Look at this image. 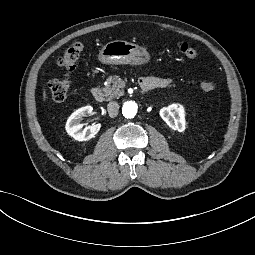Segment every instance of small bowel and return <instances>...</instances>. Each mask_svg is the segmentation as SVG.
<instances>
[{"mask_svg": "<svg viewBox=\"0 0 255 255\" xmlns=\"http://www.w3.org/2000/svg\"><path fill=\"white\" fill-rule=\"evenodd\" d=\"M149 81L157 87H165L170 83V80L167 78H151Z\"/></svg>", "mask_w": 255, "mask_h": 255, "instance_id": "obj_1", "label": "small bowel"}]
</instances>
